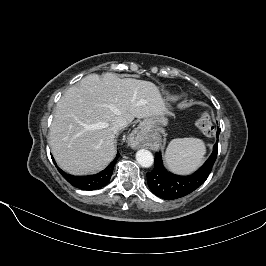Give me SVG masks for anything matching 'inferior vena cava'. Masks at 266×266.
<instances>
[{
	"instance_id": "obj_1",
	"label": "inferior vena cava",
	"mask_w": 266,
	"mask_h": 266,
	"mask_svg": "<svg viewBox=\"0 0 266 266\" xmlns=\"http://www.w3.org/2000/svg\"><path fill=\"white\" fill-rule=\"evenodd\" d=\"M127 121L123 117H115L112 120V129L115 133H117L119 130L124 129L127 126Z\"/></svg>"
}]
</instances>
